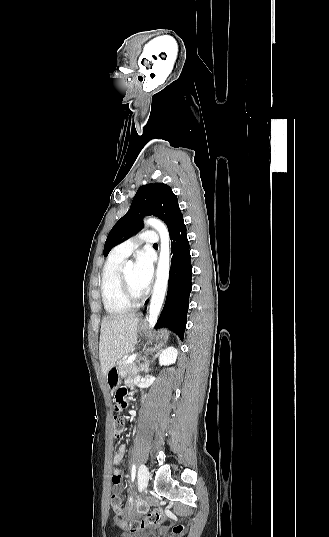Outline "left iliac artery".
Here are the masks:
<instances>
[{
	"instance_id": "44dca946",
	"label": "left iliac artery",
	"mask_w": 329,
	"mask_h": 537,
	"mask_svg": "<svg viewBox=\"0 0 329 537\" xmlns=\"http://www.w3.org/2000/svg\"><path fill=\"white\" fill-rule=\"evenodd\" d=\"M135 474H136V465L133 464V465H132V470H131V482L134 481V479H135Z\"/></svg>"
}]
</instances>
